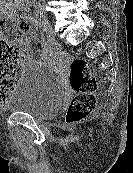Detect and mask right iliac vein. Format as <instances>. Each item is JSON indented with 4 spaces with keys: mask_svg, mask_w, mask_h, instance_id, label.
<instances>
[{
    "mask_svg": "<svg viewBox=\"0 0 133 173\" xmlns=\"http://www.w3.org/2000/svg\"><path fill=\"white\" fill-rule=\"evenodd\" d=\"M38 19L47 35V39H48L50 45L54 46L55 45V35H54V31L52 29V26L50 25V22L46 16V14L42 11H39Z\"/></svg>",
    "mask_w": 133,
    "mask_h": 173,
    "instance_id": "1",
    "label": "right iliac vein"
}]
</instances>
